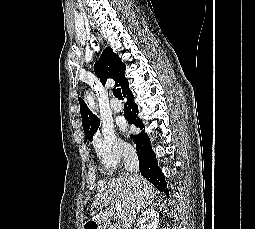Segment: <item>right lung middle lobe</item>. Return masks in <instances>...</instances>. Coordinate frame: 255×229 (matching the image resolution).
I'll return each mask as SVG.
<instances>
[{
  "instance_id": "right-lung-middle-lobe-1",
  "label": "right lung middle lobe",
  "mask_w": 255,
  "mask_h": 229,
  "mask_svg": "<svg viewBox=\"0 0 255 229\" xmlns=\"http://www.w3.org/2000/svg\"><path fill=\"white\" fill-rule=\"evenodd\" d=\"M89 140L91 141V140H92V137H91V138H89Z\"/></svg>"
}]
</instances>
